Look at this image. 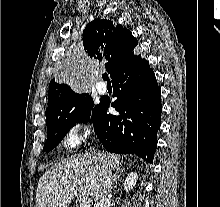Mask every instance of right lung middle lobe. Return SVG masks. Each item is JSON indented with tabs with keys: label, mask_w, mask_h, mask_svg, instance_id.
<instances>
[{
	"label": "right lung middle lobe",
	"mask_w": 220,
	"mask_h": 207,
	"mask_svg": "<svg viewBox=\"0 0 220 207\" xmlns=\"http://www.w3.org/2000/svg\"><path fill=\"white\" fill-rule=\"evenodd\" d=\"M93 106V100L88 93H76L47 115L48 136L43 151L49 152L55 148L75 123L89 118L91 110L93 115L98 105L94 108Z\"/></svg>",
	"instance_id": "right-lung-middle-lobe-1"
}]
</instances>
